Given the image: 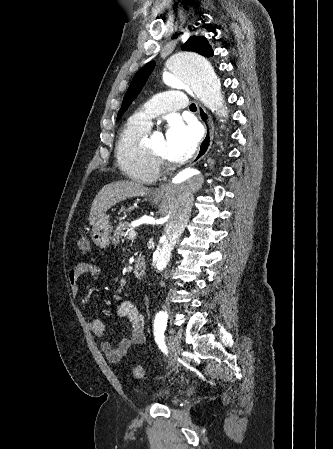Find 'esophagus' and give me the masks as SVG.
Masks as SVG:
<instances>
[{"mask_svg": "<svg viewBox=\"0 0 333 449\" xmlns=\"http://www.w3.org/2000/svg\"><path fill=\"white\" fill-rule=\"evenodd\" d=\"M197 107H198L199 118L205 128V134H204V137L199 145V149H198L195 157L191 161V164H196L206 155V153L210 149V147L213 143V139H214V125H213L211 116L208 114V112L205 110V108L201 104H198ZM165 188H166L165 184L160 185L159 187L154 189V191L152 193L153 196L163 197Z\"/></svg>", "mask_w": 333, "mask_h": 449, "instance_id": "34e87169", "label": "esophagus"}]
</instances>
